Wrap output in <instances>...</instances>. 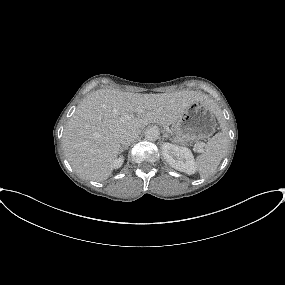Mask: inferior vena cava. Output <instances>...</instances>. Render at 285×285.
Returning <instances> with one entry per match:
<instances>
[{
    "label": "inferior vena cava",
    "instance_id": "obj_1",
    "mask_svg": "<svg viewBox=\"0 0 285 285\" xmlns=\"http://www.w3.org/2000/svg\"><path fill=\"white\" fill-rule=\"evenodd\" d=\"M138 136L139 133L137 132H125L120 136V143L123 146L130 145Z\"/></svg>",
    "mask_w": 285,
    "mask_h": 285
}]
</instances>
